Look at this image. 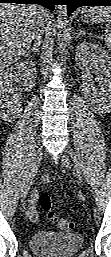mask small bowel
<instances>
[{
    "mask_svg": "<svg viewBox=\"0 0 111 257\" xmlns=\"http://www.w3.org/2000/svg\"><path fill=\"white\" fill-rule=\"evenodd\" d=\"M42 180L44 183H48L49 182L48 175H46V174L43 175ZM26 213L30 220L36 221L38 219V213L34 206H32V205L29 206Z\"/></svg>",
    "mask_w": 111,
    "mask_h": 257,
    "instance_id": "1",
    "label": "small bowel"
}]
</instances>
